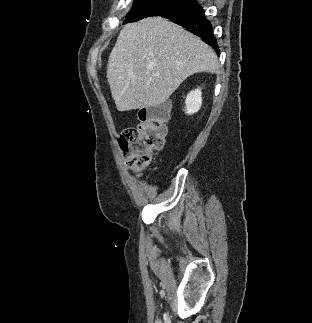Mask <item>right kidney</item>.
Segmentation results:
<instances>
[{
    "label": "right kidney",
    "mask_w": 312,
    "mask_h": 323,
    "mask_svg": "<svg viewBox=\"0 0 312 323\" xmlns=\"http://www.w3.org/2000/svg\"><path fill=\"white\" fill-rule=\"evenodd\" d=\"M202 92L201 90H192V92H189L186 96L185 104H186V110L185 114H195V112H198L202 106Z\"/></svg>",
    "instance_id": "obj_1"
}]
</instances>
